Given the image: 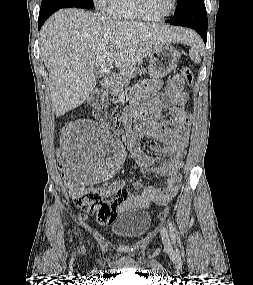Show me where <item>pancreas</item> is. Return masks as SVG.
<instances>
[{"label":"pancreas","instance_id":"1","mask_svg":"<svg viewBox=\"0 0 253 285\" xmlns=\"http://www.w3.org/2000/svg\"><path fill=\"white\" fill-rule=\"evenodd\" d=\"M137 73L145 74L146 70L130 66L123 68L118 74L110 77L106 83L105 91L103 92L104 97L107 98L108 94L118 95L121 89L126 87L129 84L130 79L135 77Z\"/></svg>","mask_w":253,"mask_h":285}]
</instances>
